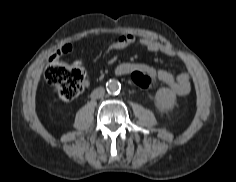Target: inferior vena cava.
<instances>
[{
    "instance_id": "602c4592",
    "label": "inferior vena cava",
    "mask_w": 236,
    "mask_h": 182,
    "mask_svg": "<svg viewBox=\"0 0 236 182\" xmlns=\"http://www.w3.org/2000/svg\"><path fill=\"white\" fill-rule=\"evenodd\" d=\"M104 94H105V89L103 87H98L92 92L91 96L92 98L98 99L103 97Z\"/></svg>"
}]
</instances>
